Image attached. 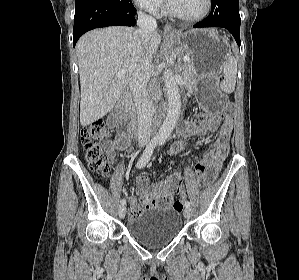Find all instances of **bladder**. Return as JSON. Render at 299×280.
I'll use <instances>...</instances> for the list:
<instances>
[{
    "label": "bladder",
    "instance_id": "bladder-1",
    "mask_svg": "<svg viewBox=\"0 0 299 280\" xmlns=\"http://www.w3.org/2000/svg\"><path fill=\"white\" fill-rule=\"evenodd\" d=\"M128 232L142 245L158 248L171 242L182 229L181 213L171 207H152L128 222Z\"/></svg>",
    "mask_w": 299,
    "mask_h": 280
}]
</instances>
